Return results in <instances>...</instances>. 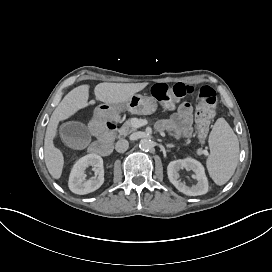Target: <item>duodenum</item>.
<instances>
[{
    "instance_id": "obj_1",
    "label": "duodenum",
    "mask_w": 272,
    "mask_h": 272,
    "mask_svg": "<svg viewBox=\"0 0 272 272\" xmlns=\"http://www.w3.org/2000/svg\"><path fill=\"white\" fill-rule=\"evenodd\" d=\"M91 131L97 138L90 147L91 154L106 156L112 150V139L115 135L116 125L105 117L104 110H97L91 123Z\"/></svg>"
}]
</instances>
